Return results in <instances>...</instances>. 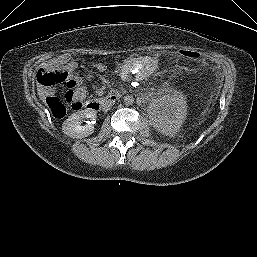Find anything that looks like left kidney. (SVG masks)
Instances as JSON below:
<instances>
[{"instance_id": "obj_1", "label": "left kidney", "mask_w": 257, "mask_h": 257, "mask_svg": "<svg viewBox=\"0 0 257 257\" xmlns=\"http://www.w3.org/2000/svg\"><path fill=\"white\" fill-rule=\"evenodd\" d=\"M153 127L166 135L176 134L187 116L186 97L181 92L157 98L149 109Z\"/></svg>"}]
</instances>
